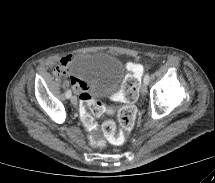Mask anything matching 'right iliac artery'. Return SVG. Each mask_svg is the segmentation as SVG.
I'll return each instance as SVG.
<instances>
[{"mask_svg": "<svg viewBox=\"0 0 215 183\" xmlns=\"http://www.w3.org/2000/svg\"><path fill=\"white\" fill-rule=\"evenodd\" d=\"M71 95H72L71 90H68V91L66 92V97H67V98H70V97H71Z\"/></svg>", "mask_w": 215, "mask_h": 183, "instance_id": "1", "label": "right iliac artery"}]
</instances>
